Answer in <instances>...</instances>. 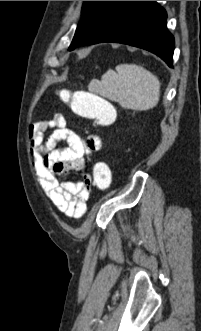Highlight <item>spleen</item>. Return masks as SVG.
Instances as JSON below:
<instances>
[{"mask_svg": "<svg viewBox=\"0 0 201 331\" xmlns=\"http://www.w3.org/2000/svg\"><path fill=\"white\" fill-rule=\"evenodd\" d=\"M109 69L96 83L95 91L120 106L134 111L155 107L160 98V82L150 71L136 64Z\"/></svg>", "mask_w": 201, "mask_h": 331, "instance_id": "3e777b00", "label": "spleen"}]
</instances>
